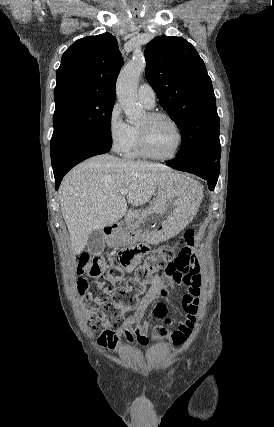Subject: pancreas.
Wrapping results in <instances>:
<instances>
[{
	"mask_svg": "<svg viewBox=\"0 0 274 427\" xmlns=\"http://www.w3.org/2000/svg\"><path fill=\"white\" fill-rule=\"evenodd\" d=\"M142 212L140 210H136V212H133V210H129L128 214L125 217L126 223H134L135 219H138L139 215H141Z\"/></svg>",
	"mask_w": 274,
	"mask_h": 427,
	"instance_id": "pancreas-1",
	"label": "pancreas"
}]
</instances>
